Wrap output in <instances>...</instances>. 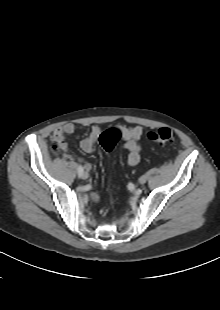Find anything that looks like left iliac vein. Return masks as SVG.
<instances>
[{
  "label": "left iliac vein",
  "instance_id": "4c4485c4",
  "mask_svg": "<svg viewBox=\"0 0 220 310\" xmlns=\"http://www.w3.org/2000/svg\"><path fill=\"white\" fill-rule=\"evenodd\" d=\"M139 182H140L141 184H144V183L146 182V178H145V177H141V178L139 179Z\"/></svg>",
  "mask_w": 220,
  "mask_h": 310
}]
</instances>
